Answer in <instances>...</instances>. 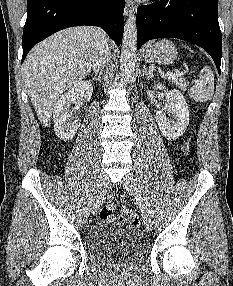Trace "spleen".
Listing matches in <instances>:
<instances>
[{
    "mask_svg": "<svg viewBox=\"0 0 233 286\" xmlns=\"http://www.w3.org/2000/svg\"><path fill=\"white\" fill-rule=\"evenodd\" d=\"M190 52H193L189 47ZM214 94V75L209 66H204L199 74V80L189 89V96L196 102H206Z\"/></svg>",
    "mask_w": 233,
    "mask_h": 286,
    "instance_id": "3e777b00",
    "label": "spleen"
}]
</instances>
